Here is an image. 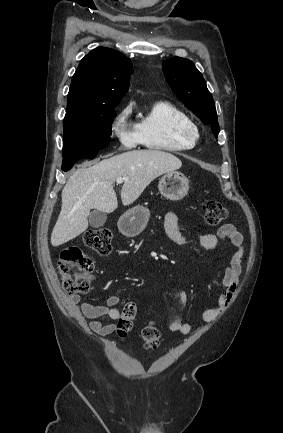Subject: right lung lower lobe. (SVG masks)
<instances>
[{
  "mask_svg": "<svg viewBox=\"0 0 283 433\" xmlns=\"http://www.w3.org/2000/svg\"><path fill=\"white\" fill-rule=\"evenodd\" d=\"M96 154H88V153H71L67 155H63V171H68L72 168L74 163L81 158H90L93 159Z\"/></svg>",
  "mask_w": 283,
  "mask_h": 433,
  "instance_id": "1",
  "label": "right lung lower lobe"
}]
</instances>
